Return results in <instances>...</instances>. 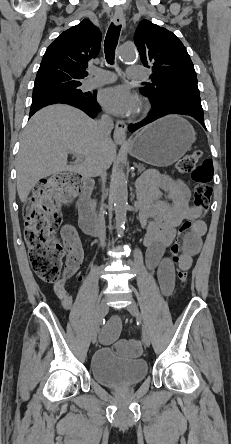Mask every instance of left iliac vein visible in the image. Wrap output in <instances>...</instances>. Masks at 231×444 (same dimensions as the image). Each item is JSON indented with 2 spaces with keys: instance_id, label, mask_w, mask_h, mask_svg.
I'll use <instances>...</instances> for the list:
<instances>
[{
  "instance_id": "left-iliac-vein-1",
  "label": "left iliac vein",
  "mask_w": 231,
  "mask_h": 444,
  "mask_svg": "<svg viewBox=\"0 0 231 444\" xmlns=\"http://www.w3.org/2000/svg\"><path fill=\"white\" fill-rule=\"evenodd\" d=\"M127 311L134 316L135 318H138V307L134 301H131L127 307ZM142 341L145 344V346L149 347L151 343V338L148 329L143 326L142 327Z\"/></svg>"
}]
</instances>
